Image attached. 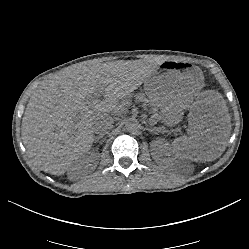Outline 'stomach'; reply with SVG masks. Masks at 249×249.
<instances>
[{
	"instance_id": "0dacf381",
	"label": "stomach",
	"mask_w": 249,
	"mask_h": 249,
	"mask_svg": "<svg viewBox=\"0 0 249 249\" xmlns=\"http://www.w3.org/2000/svg\"><path fill=\"white\" fill-rule=\"evenodd\" d=\"M203 86L201 69L176 61L163 62L144 82L148 97L152 91L157 102L170 110H179L191 104Z\"/></svg>"
}]
</instances>
